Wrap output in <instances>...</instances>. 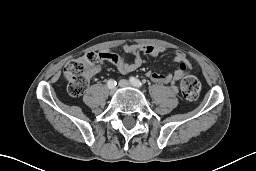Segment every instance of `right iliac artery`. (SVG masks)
<instances>
[{
  "label": "right iliac artery",
  "instance_id": "right-iliac-artery-1",
  "mask_svg": "<svg viewBox=\"0 0 256 171\" xmlns=\"http://www.w3.org/2000/svg\"><path fill=\"white\" fill-rule=\"evenodd\" d=\"M116 84H117V82H116L115 80H113V79H110V80L107 82V86H108L109 88H112V87L116 86Z\"/></svg>",
  "mask_w": 256,
  "mask_h": 171
}]
</instances>
